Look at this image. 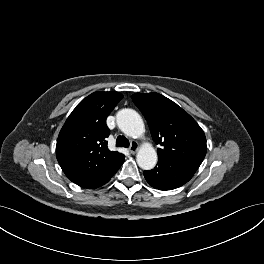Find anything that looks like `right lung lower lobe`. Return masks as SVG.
I'll return each mask as SVG.
<instances>
[{
    "label": "right lung lower lobe",
    "instance_id": "1",
    "mask_svg": "<svg viewBox=\"0 0 264 264\" xmlns=\"http://www.w3.org/2000/svg\"><path fill=\"white\" fill-rule=\"evenodd\" d=\"M124 155L118 158L115 162H113L111 165L106 167L104 170L99 172L98 174L80 182L77 183L79 186L87 188V189H93L98 188L107 183L110 178L118 171V169L121 167V165L124 162Z\"/></svg>",
    "mask_w": 264,
    "mask_h": 264
}]
</instances>
